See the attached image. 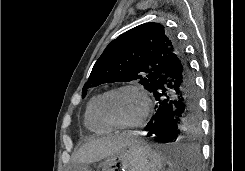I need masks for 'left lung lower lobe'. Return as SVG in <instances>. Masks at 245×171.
I'll use <instances>...</instances> for the list:
<instances>
[{"mask_svg":"<svg viewBox=\"0 0 245 171\" xmlns=\"http://www.w3.org/2000/svg\"><path fill=\"white\" fill-rule=\"evenodd\" d=\"M153 93L157 105L146 127L147 136H155L161 143H178L198 124L199 105L195 77L184 50L180 46L165 60L162 74ZM181 167H197L194 147L176 151Z\"/></svg>","mask_w":245,"mask_h":171,"instance_id":"left-lung-lower-lobe-1","label":"left lung lower lobe"}]
</instances>
